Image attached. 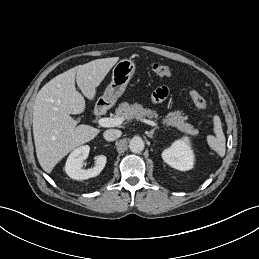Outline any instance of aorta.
Instances as JSON below:
<instances>
[{"label": "aorta", "mask_w": 259, "mask_h": 259, "mask_svg": "<svg viewBox=\"0 0 259 259\" xmlns=\"http://www.w3.org/2000/svg\"><path fill=\"white\" fill-rule=\"evenodd\" d=\"M145 144L141 137H133L129 142V149L133 153H140L144 150Z\"/></svg>", "instance_id": "obj_1"}]
</instances>
